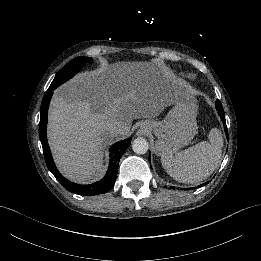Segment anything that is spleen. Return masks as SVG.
Segmentation results:
<instances>
[{
    "instance_id": "3e777b00",
    "label": "spleen",
    "mask_w": 261,
    "mask_h": 261,
    "mask_svg": "<svg viewBox=\"0 0 261 261\" xmlns=\"http://www.w3.org/2000/svg\"><path fill=\"white\" fill-rule=\"evenodd\" d=\"M221 146L222 136L217 129H213L209 141H200L174 156H161V163L165 172L174 180L198 184L205 180L220 162Z\"/></svg>"
}]
</instances>
